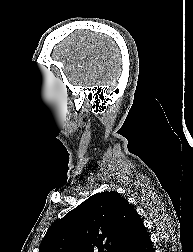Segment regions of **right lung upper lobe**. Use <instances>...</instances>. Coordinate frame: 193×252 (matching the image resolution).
Returning a JSON list of instances; mask_svg holds the SVG:
<instances>
[{"label":"right lung upper lobe","mask_w":193,"mask_h":252,"mask_svg":"<svg viewBox=\"0 0 193 252\" xmlns=\"http://www.w3.org/2000/svg\"><path fill=\"white\" fill-rule=\"evenodd\" d=\"M145 226L119 193L94 194L56 221L39 252H126Z\"/></svg>","instance_id":"cb5924a9"}]
</instances>
